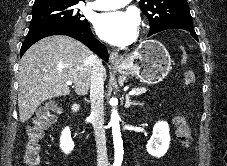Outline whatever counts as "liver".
I'll use <instances>...</instances> for the list:
<instances>
[{
	"label": "liver",
	"mask_w": 227,
	"mask_h": 166,
	"mask_svg": "<svg viewBox=\"0 0 227 166\" xmlns=\"http://www.w3.org/2000/svg\"><path fill=\"white\" fill-rule=\"evenodd\" d=\"M96 57L81 42L64 35L46 37L31 46L19 66L20 122L28 121L46 100L67 96L72 81L77 95H86Z\"/></svg>",
	"instance_id": "1"
}]
</instances>
